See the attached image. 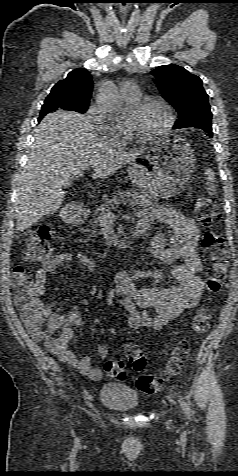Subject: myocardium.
<instances>
[{
  "instance_id": "myocardium-1",
  "label": "myocardium",
  "mask_w": 238,
  "mask_h": 476,
  "mask_svg": "<svg viewBox=\"0 0 238 476\" xmlns=\"http://www.w3.org/2000/svg\"><path fill=\"white\" fill-rule=\"evenodd\" d=\"M151 105H158V106L163 108V110L166 113V117H167L166 123H165V125L162 129H160L159 131H157L153 134H149V135L139 134L130 125L126 124L127 130L129 131V133L133 137V139H135L136 141L147 142V141L156 140L158 138H161V137L167 135L174 126L175 115H174L173 109H172L171 105L163 99H159V98L144 99L140 102L134 103L132 109H133L134 112L140 113L141 111H143L144 109H146L147 107H149Z\"/></svg>"
}]
</instances>
